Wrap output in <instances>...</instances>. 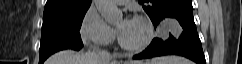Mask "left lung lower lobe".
Returning <instances> with one entry per match:
<instances>
[{
	"mask_svg": "<svg viewBox=\"0 0 242 64\" xmlns=\"http://www.w3.org/2000/svg\"><path fill=\"white\" fill-rule=\"evenodd\" d=\"M172 18L176 19L183 31L179 36L169 34L167 40L154 38L151 44L140 54L133 56L134 59H147L163 55H179L191 59L197 64H206L202 50V44L197 34L193 18L192 3L185 4L167 12L161 21Z\"/></svg>",
	"mask_w": 242,
	"mask_h": 64,
	"instance_id": "left-lung-lower-lobe-1",
	"label": "left lung lower lobe"
}]
</instances>
